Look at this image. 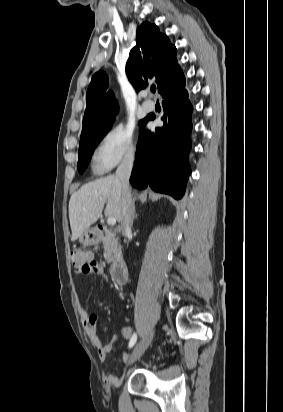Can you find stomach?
Wrapping results in <instances>:
<instances>
[{"label": "stomach", "mask_w": 283, "mask_h": 412, "mask_svg": "<svg viewBox=\"0 0 283 412\" xmlns=\"http://www.w3.org/2000/svg\"><path fill=\"white\" fill-rule=\"evenodd\" d=\"M79 242L84 246H91L98 243V238L93 229H88L79 237Z\"/></svg>", "instance_id": "0dacf381"}]
</instances>
